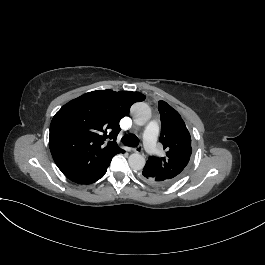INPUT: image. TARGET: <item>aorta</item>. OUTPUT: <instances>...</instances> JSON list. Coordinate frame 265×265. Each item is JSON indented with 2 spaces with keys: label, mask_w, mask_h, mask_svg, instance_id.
Returning a JSON list of instances; mask_svg holds the SVG:
<instances>
[{
  "label": "aorta",
  "mask_w": 265,
  "mask_h": 265,
  "mask_svg": "<svg viewBox=\"0 0 265 265\" xmlns=\"http://www.w3.org/2000/svg\"><path fill=\"white\" fill-rule=\"evenodd\" d=\"M131 114L134 122L138 125L145 124L151 118L150 108L143 102L135 103L131 107ZM128 162L133 170H142L145 166L146 160L141 154L133 153L129 156Z\"/></svg>",
  "instance_id": "obj_1"
}]
</instances>
